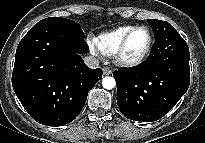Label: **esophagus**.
Masks as SVG:
<instances>
[{
	"label": "esophagus",
	"mask_w": 205,
	"mask_h": 143,
	"mask_svg": "<svg viewBox=\"0 0 205 143\" xmlns=\"http://www.w3.org/2000/svg\"><path fill=\"white\" fill-rule=\"evenodd\" d=\"M102 70H103V74L104 75L112 74V70L110 68H108V67H104Z\"/></svg>",
	"instance_id": "34e87169"
}]
</instances>
